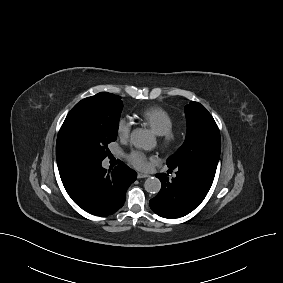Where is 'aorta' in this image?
<instances>
[{
	"mask_svg": "<svg viewBox=\"0 0 283 283\" xmlns=\"http://www.w3.org/2000/svg\"><path fill=\"white\" fill-rule=\"evenodd\" d=\"M131 143L136 148L151 150L155 146V139L153 135L145 129L137 128L132 131L130 136ZM145 190L148 193H158L161 189V182L156 177H148L144 183Z\"/></svg>",
	"mask_w": 283,
	"mask_h": 283,
	"instance_id": "762f6f07",
	"label": "aorta"
}]
</instances>
